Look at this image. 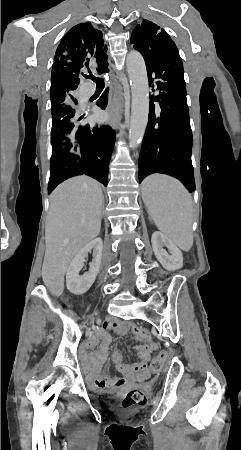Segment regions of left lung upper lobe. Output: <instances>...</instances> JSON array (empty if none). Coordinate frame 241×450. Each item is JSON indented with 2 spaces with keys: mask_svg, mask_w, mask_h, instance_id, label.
<instances>
[{
  "mask_svg": "<svg viewBox=\"0 0 241 450\" xmlns=\"http://www.w3.org/2000/svg\"><path fill=\"white\" fill-rule=\"evenodd\" d=\"M170 36L149 20L137 25L131 35V44L138 50L146 62L156 60L172 43Z\"/></svg>",
  "mask_w": 241,
  "mask_h": 450,
  "instance_id": "5c2ea615",
  "label": "left lung upper lobe"
}]
</instances>
